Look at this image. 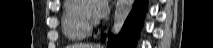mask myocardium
Masks as SVG:
<instances>
[{
  "instance_id": "myocardium-1",
  "label": "myocardium",
  "mask_w": 213,
  "mask_h": 48,
  "mask_svg": "<svg viewBox=\"0 0 213 48\" xmlns=\"http://www.w3.org/2000/svg\"><path fill=\"white\" fill-rule=\"evenodd\" d=\"M80 3V2H79ZM79 13H80V17L82 19V22L91 30L92 28L96 27L98 22L96 19L92 18L90 15H88L85 11H84V4L80 3V7H79Z\"/></svg>"
}]
</instances>
